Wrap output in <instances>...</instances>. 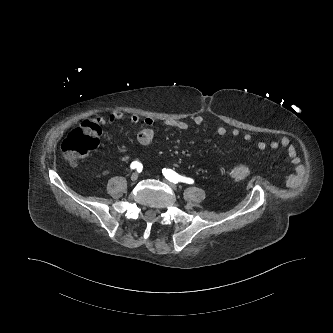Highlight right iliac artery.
Instances as JSON below:
<instances>
[{
    "label": "right iliac artery",
    "mask_w": 333,
    "mask_h": 333,
    "mask_svg": "<svg viewBox=\"0 0 333 333\" xmlns=\"http://www.w3.org/2000/svg\"><path fill=\"white\" fill-rule=\"evenodd\" d=\"M130 168H131V169H137V171H141L142 168H143V166H142V164H141L140 162H138V161H133V162L131 163V165H130Z\"/></svg>",
    "instance_id": "obj_1"
}]
</instances>
